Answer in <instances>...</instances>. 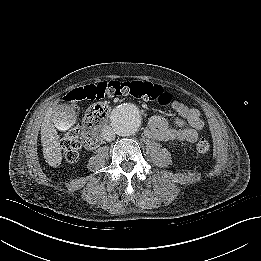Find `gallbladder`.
I'll list each match as a JSON object with an SVG mask.
<instances>
[{
  "label": "gallbladder",
  "instance_id": "obj_1",
  "mask_svg": "<svg viewBox=\"0 0 261 261\" xmlns=\"http://www.w3.org/2000/svg\"><path fill=\"white\" fill-rule=\"evenodd\" d=\"M51 120L58 131L65 132L74 126L76 113L68 105H58L52 111Z\"/></svg>",
  "mask_w": 261,
  "mask_h": 261
}]
</instances>
